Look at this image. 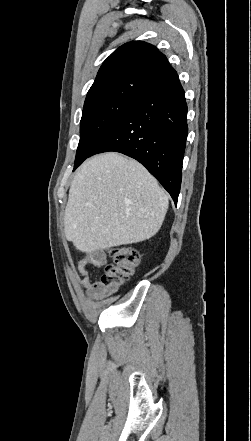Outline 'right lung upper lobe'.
<instances>
[{"mask_svg":"<svg viewBox=\"0 0 251 441\" xmlns=\"http://www.w3.org/2000/svg\"><path fill=\"white\" fill-rule=\"evenodd\" d=\"M176 71L158 49L143 41L128 42L102 64L84 106L114 97H141Z\"/></svg>","mask_w":251,"mask_h":441,"instance_id":"cb5924a9","label":"right lung upper lobe"}]
</instances>
